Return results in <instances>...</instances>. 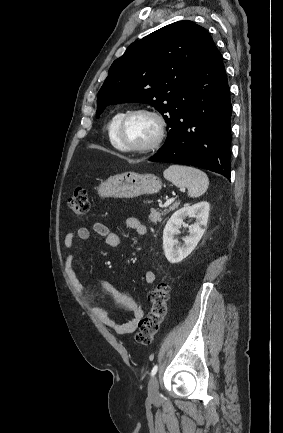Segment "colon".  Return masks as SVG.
<instances>
[{
  "label": "colon",
  "instance_id": "colon-1",
  "mask_svg": "<svg viewBox=\"0 0 283 433\" xmlns=\"http://www.w3.org/2000/svg\"><path fill=\"white\" fill-rule=\"evenodd\" d=\"M69 208L71 212L78 216L84 217L89 211V191L87 188L78 187L69 199ZM170 287L166 282L157 284L148 294L151 309L148 315L139 322V330L135 336L138 345H150L157 335L163 321L168 313V300Z\"/></svg>",
  "mask_w": 283,
  "mask_h": 433
}]
</instances>
